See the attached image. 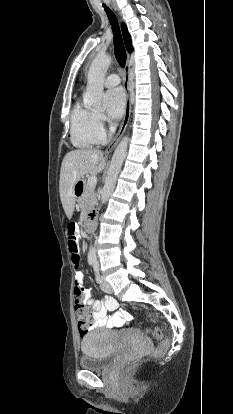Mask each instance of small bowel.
Masks as SVG:
<instances>
[{
    "instance_id": "obj_1",
    "label": "small bowel",
    "mask_w": 233,
    "mask_h": 414,
    "mask_svg": "<svg viewBox=\"0 0 233 414\" xmlns=\"http://www.w3.org/2000/svg\"><path fill=\"white\" fill-rule=\"evenodd\" d=\"M77 236H81L82 232L77 231ZM70 261L75 271V281L73 283L74 293L81 295L84 292L87 305L92 310L93 327L118 328L129 324L133 316L126 310L119 309V303L111 296H105L103 300H96L91 295L90 285L83 284L84 275L81 272L80 254L73 251ZM111 312V314H109Z\"/></svg>"
}]
</instances>
